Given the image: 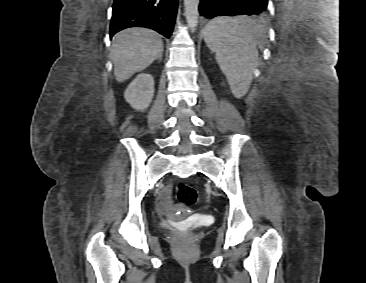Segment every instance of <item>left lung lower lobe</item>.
<instances>
[{
    "instance_id": "1",
    "label": "left lung lower lobe",
    "mask_w": 366,
    "mask_h": 283,
    "mask_svg": "<svg viewBox=\"0 0 366 283\" xmlns=\"http://www.w3.org/2000/svg\"><path fill=\"white\" fill-rule=\"evenodd\" d=\"M265 0H200V15L205 19L216 16L247 15L252 18L266 13Z\"/></svg>"
}]
</instances>
